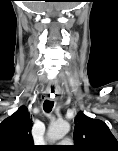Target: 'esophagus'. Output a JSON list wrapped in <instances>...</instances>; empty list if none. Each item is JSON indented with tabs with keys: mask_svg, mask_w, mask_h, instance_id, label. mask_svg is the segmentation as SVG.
<instances>
[{
	"mask_svg": "<svg viewBox=\"0 0 118 151\" xmlns=\"http://www.w3.org/2000/svg\"><path fill=\"white\" fill-rule=\"evenodd\" d=\"M57 92H58L57 87H55V86H49V87L47 88V97H48V98H51V97L55 96V94H56Z\"/></svg>",
	"mask_w": 118,
	"mask_h": 151,
	"instance_id": "34e87169",
	"label": "esophagus"
}]
</instances>
